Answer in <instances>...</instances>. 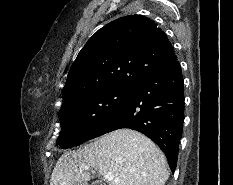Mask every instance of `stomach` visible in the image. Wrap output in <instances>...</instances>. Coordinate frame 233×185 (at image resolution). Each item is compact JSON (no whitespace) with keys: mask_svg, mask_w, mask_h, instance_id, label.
<instances>
[{"mask_svg":"<svg viewBox=\"0 0 233 185\" xmlns=\"http://www.w3.org/2000/svg\"><path fill=\"white\" fill-rule=\"evenodd\" d=\"M75 185H83V184H81V183H76Z\"/></svg>","mask_w":233,"mask_h":185,"instance_id":"stomach-1","label":"stomach"}]
</instances>
